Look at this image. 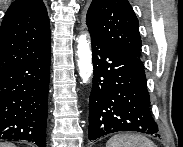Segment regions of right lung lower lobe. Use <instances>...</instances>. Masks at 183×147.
Masks as SVG:
<instances>
[{"instance_id":"right-lung-lower-lobe-1","label":"right lung lower lobe","mask_w":183,"mask_h":147,"mask_svg":"<svg viewBox=\"0 0 183 147\" xmlns=\"http://www.w3.org/2000/svg\"><path fill=\"white\" fill-rule=\"evenodd\" d=\"M50 50L0 71V140L46 147Z\"/></svg>"}]
</instances>
